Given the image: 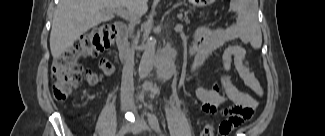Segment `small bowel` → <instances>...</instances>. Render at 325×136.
Segmentation results:
<instances>
[{
    "label": "small bowel",
    "instance_id": "small-bowel-1",
    "mask_svg": "<svg viewBox=\"0 0 325 136\" xmlns=\"http://www.w3.org/2000/svg\"><path fill=\"white\" fill-rule=\"evenodd\" d=\"M257 39L254 29L248 26L245 19L238 17L235 24L222 29H198L193 36L195 44L199 47L193 65L192 75L196 85V96L201 103V110L208 114H220L224 120L220 124L219 134L225 136L233 128L239 127L249 121L254 115L258 101L251 95L241 92L232 83L229 71L235 66L240 77L258 97L263 95V87L259 80L244 65L245 50L239 44L229 45L222 57V72L220 83L210 88L202 87L197 81V71L207 60L208 56L231 41L253 43ZM99 73L88 71L86 82L90 86L98 85L104 77L115 73L114 64L106 59L99 58ZM231 103V105H227Z\"/></svg>",
    "mask_w": 325,
    "mask_h": 136
}]
</instances>
